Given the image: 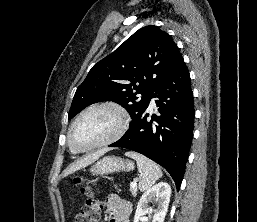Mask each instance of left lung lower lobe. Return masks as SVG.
I'll list each match as a JSON object with an SVG mask.
<instances>
[{
	"label": "left lung lower lobe",
	"mask_w": 257,
	"mask_h": 222,
	"mask_svg": "<svg viewBox=\"0 0 257 222\" xmlns=\"http://www.w3.org/2000/svg\"><path fill=\"white\" fill-rule=\"evenodd\" d=\"M152 97L159 115L150 121L146 109ZM194 129V102L191 79L184 60L159 84L147 105L127 132L109 147L141 153L164 167L177 190L185 173Z\"/></svg>",
	"instance_id": "left-lung-lower-lobe-1"
}]
</instances>
